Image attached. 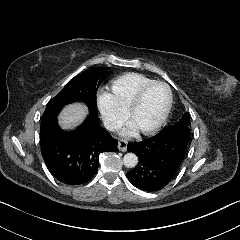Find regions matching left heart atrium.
I'll use <instances>...</instances> for the list:
<instances>
[{
  "label": "left heart atrium",
  "instance_id": "1",
  "mask_svg": "<svg viewBox=\"0 0 240 240\" xmlns=\"http://www.w3.org/2000/svg\"><path fill=\"white\" fill-rule=\"evenodd\" d=\"M138 131V128L136 127L135 124L130 123L123 131H122V135L124 136H131L133 135L135 132Z\"/></svg>",
  "mask_w": 240,
  "mask_h": 240
}]
</instances>
